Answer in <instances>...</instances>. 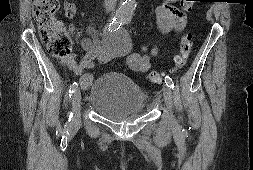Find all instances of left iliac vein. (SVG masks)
I'll return each instance as SVG.
<instances>
[{"mask_svg":"<svg viewBox=\"0 0 253 170\" xmlns=\"http://www.w3.org/2000/svg\"><path fill=\"white\" fill-rule=\"evenodd\" d=\"M163 96H164V100H165L167 109L170 111L171 106H172V91H171L170 87L165 86L163 88Z\"/></svg>","mask_w":253,"mask_h":170,"instance_id":"obj_1","label":"left iliac vein"}]
</instances>
